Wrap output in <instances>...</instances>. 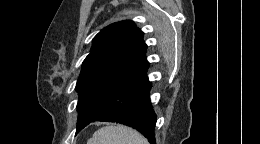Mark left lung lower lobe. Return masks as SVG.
<instances>
[{
	"mask_svg": "<svg viewBox=\"0 0 260 144\" xmlns=\"http://www.w3.org/2000/svg\"><path fill=\"white\" fill-rule=\"evenodd\" d=\"M148 65L135 73L89 122H118L141 132L151 144H156L154 128L156 114L151 105V82L146 77Z\"/></svg>",
	"mask_w": 260,
	"mask_h": 144,
	"instance_id": "left-lung-lower-lobe-1",
	"label": "left lung lower lobe"
}]
</instances>
